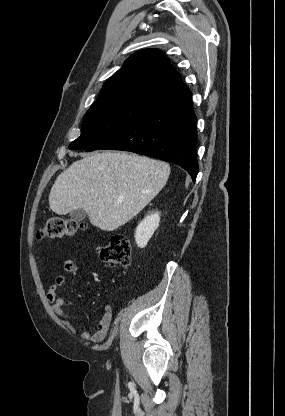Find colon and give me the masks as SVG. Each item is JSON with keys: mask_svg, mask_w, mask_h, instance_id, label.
Listing matches in <instances>:
<instances>
[{"mask_svg": "<svg viewBox=\"0 0 285 416\" xmlns=\"http://www.w3.org/2000/svg\"><path fill=\"white\" fill-rule=\"evenodd\" d=\"M83 229L84 224L78 220L55 216L45 222L37 236L40 239L57 240L72 237ZM100 258L110 266L128 267L131 260L128 238L122 234L112 236L109 244L100 250ZM65 266L67 270L73 269L71 261H68Z\"/></svg>", "mask_w": 285, "mask_h": 416, "instance_id": "colon-1", "label": "colon"}]
</instances>
